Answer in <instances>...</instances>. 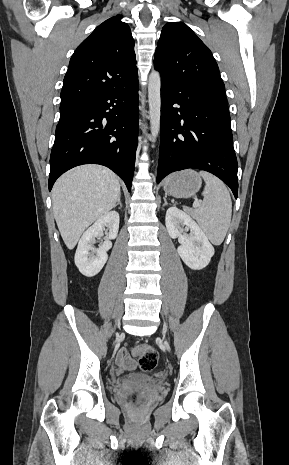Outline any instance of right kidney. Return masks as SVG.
<instances>
[{
    "mask_svg": "<svg viewBox=\"0 0 289 465\" xmlns=\"http://www.w3.org/2000/svg\"><path fill=\"white\" fill-rule=\"evenodd\" d=\"M105 227L108 230L107 239L101 247L95 249V238L103 233ZM118 230L119 214L116 211H110L100 216L84 232L79 240L74 258L75 265L84 276L93 277L101 271L108 259L107 251L112 247L111 240L117 237Z\"/></svg>",
    "mask_w": 289,
    "mask_h": 465,
    "instance_id": "ca27d5eb",
    "label": "right kidney"
}]
</instances>
